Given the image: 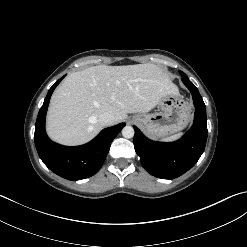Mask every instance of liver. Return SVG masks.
<instances>
[{
	"label": "liver",
	"instance_id": "6515ba94",
	"mask_svg": "<svg viewBox=\"0 0 247 247\" xmlns=\"http://www.w3.org/2000/svg\"><path fill=\"white\" fill-rule=\"evenodd\" d=\"M170 94H178L177 87L154 64L93 66L71 73L55 90L47 132L61 144H84L103 128L98 121L100 114H113V124H117L128 113L149 112Z\"/></svg>",
	"mask_w": 247,
	"mask_h": 247
}]
</instances>
